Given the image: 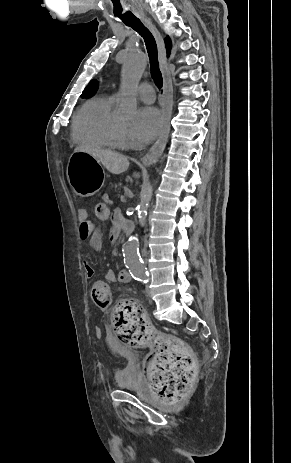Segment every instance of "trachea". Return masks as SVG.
Returning a JSON list of instances; mask_svg holds the SVG:
<instances>
[{"mask_svg":"<svg viewBox=\"0 0 291 463\" xmlns=\"http://www.w3.org/2000/svg\"><path fill=\"white\" fill-rule=\"evenodd\" d=\"M125 24L134 29L143 37L150 60L152 78L154 79L156 86L161 89L163 85V79L159 69L157 44L155 38L141 21L129 22Z\"/></svg>","mask_w":291,"mask_h":463,"instance_id":"1","label":"trachea"}]
</instances>
